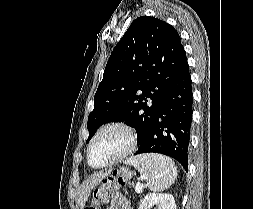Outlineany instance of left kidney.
Masks as SVG:
<instances>
[{
  "label": "left kidney",
  "instance_id": "5707ae66",
  "mask_svg": "<svg viewBox=\"0 0 253 209\" xmlns=\"http://www.w3.org/2000/svg\"><path fill=\"white\" fill-rule=\"evenodd\" d=\"M177 209L174 197L166 193H150L140 202L138 209Z\"/></svg>",
  "mask_w": 253,
  "mask_h": 209
}]
</instances>
